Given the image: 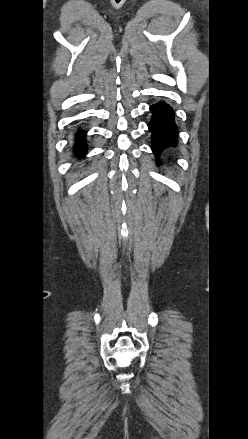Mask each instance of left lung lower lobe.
Listing matches in <instances>:
<instances>
[{"label":"left lung lower lobe","mask_w":248,"mask_h":439,"mask_svg":"<svg viewBox=\"0 0 248 439\" xmlns=\"http://www.w3.org/2000/svg\"><path fill=\"white\" fill-rule=\"evenodd\" d=\"M152 119L148 128L152 133L151 149L160 162L161 154L168 148L178 144V130L175 123V113L172 107L164 101L151 105Z\"/></svg>","instance_id":"1"}]
</instances>
